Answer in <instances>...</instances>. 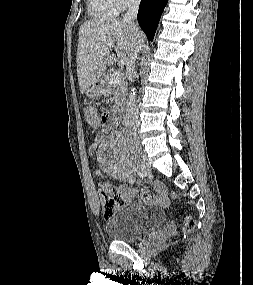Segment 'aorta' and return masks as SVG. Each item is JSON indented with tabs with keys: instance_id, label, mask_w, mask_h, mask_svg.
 Segmentation results:
<instances>
[{
	"instance_id": "obj_1",
	"label": "aorta",
	"mask_w": 253,
	"mask_h": 285,
	"mask_svg": "<svg viewBox=\"0 0 253 285\" xmlns=\"http://www.w3.org/2000/svg\"><path fill=\"white\" fill-rule=\"evenodd\" d=\"M135 101H136V90L132 89L126 103V113L129 117L131 116V111L135 105Z\"/></svg>"
}]
</instances>
